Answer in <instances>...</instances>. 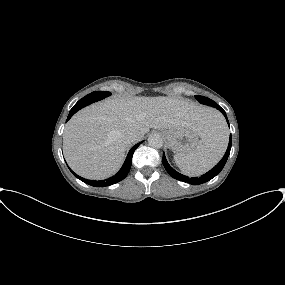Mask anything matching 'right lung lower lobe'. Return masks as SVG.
Here are the masks:
<instances>
[{"label": "right lung lower lobe", "instance_id": "1", "mask_svg": "<svg viewBox=\"0 0 285 285\" xmlns=\"http://www.w3.org/2000/svg\"><path fill=\"white\" fill-rule=\"evenodd\" d=\"M94 99H90V100H85L84 102H80L78 101L74 107L70 110L69 112V115H68V118H67V121L72 117L73 114H75L78 110H80L81 108L91 104L94 100ZM141 144L138 143L136 144L135 146H133L127 157H126V160L123 164V166L121 167V169L119 170V172L117 174H115L114 176L108 178V179H105V180H101V181H95V180H88V179H85V178H82L80 176H78L77 174H75L73 171H71L74 176H76L78 179H80L81 181H83L84 183L88 184V185H91V186H95V187H106V186H110L112 184H115L117 182H120L121 180H123L129 170H130V167H131V163H132V156H133V153L135 151V149Z\"/></svg>", "mask_w": 285, "mask_h": 285}]
</instances>
